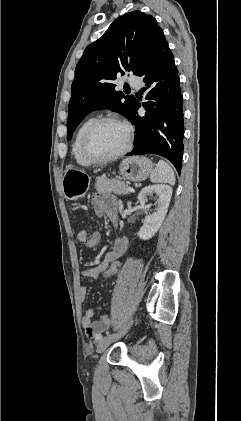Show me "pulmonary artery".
<instances>
[{"instance_id":"obj_1","label":"pulmonary artery","mask_w":241,"mask_h":421,"mask_svg":"<svg viewBox=\"0 0 241 421\" xmlns=\"http://www.w3.org/2000/svg\"><path fill=\"white\" fill-rule=\"evenodd\" d=\"M128 83L135 89L141 88V81L137 77H132L128 80Z\"/></svg>"}]
</instances>
